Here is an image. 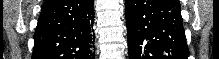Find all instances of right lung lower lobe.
Masks as SVG:
<instances>
[{"mask_svg": "<svg viewBox=\"0 0 219 59\" xmlns=\"http://www.w3.org/2000/svg\"><path fill=\"white\" fill-rule=\"evenodd\" d=\"M93 23L94 0H45L32 59L93 58Z\"/></svg>", "mask_w": 219, "mask_h": 59, "instance_id": "1", "label": "right lung lower lobe"}]
</instances>
